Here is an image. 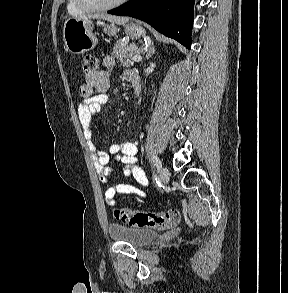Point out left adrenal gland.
<instances>
[{
  "label": "left adrenal gland",
  "mask_w": 288,
  "mask_h": 293,
  "mask_svg": "<svg viewBox=\"0 0 288 293\" xmlns=\"http://www.w3.org/2000/svg\"><path fill=\"white\" fill-rule=\"evenodd\" d=\"M155 46H154V43H150L146 49H145V52H146V59H149L154 53H155Z\"/></svg>",
  "instance_id": "left-adrenal-gland-1"
}]
</instances>
